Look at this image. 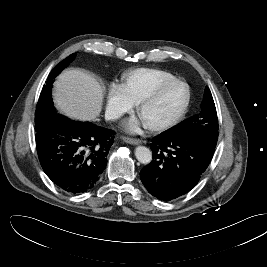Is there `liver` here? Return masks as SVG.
<instances>
[{
    "label": "liver",
    "mask_w": 267,
    "mask_h": 267,
    "mask_svg": "<svg viewBox=\"0 0 267 267\" xmlns=\"http://www.w3.org/2000/svg\"><path fill=\"white\" fill-rule=\"evenodd\" d=\"M53 95L57 106L66 116L95 121L102 109L104 89L89 73L72 69L58 76Z\"/></svg>",
    "instance_id": "1"
}]
</instances>
